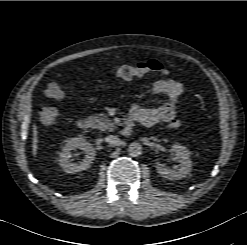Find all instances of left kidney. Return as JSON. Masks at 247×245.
<instances>
[{
	"label": "left kidney",
	"instance_id": "left-kidney-1",
	"mask_svg": "<svg viewBox=\"0 0 247 245\" xmlns=\"http://www.w3.org/2000/svg\"><path fill=\"white\" fill-rule=\"evenodd\" d=\"M171 151L175 153V158L180 163L178 167L169 169L161 163H157L156 170L164 178L169 180H177L186 177L191 172L192 161L190 159V151L179 143H175L171 147Z\"/></svg>",
	"mask_w": 247,
	"mask_h": 245
}]
</instances>
